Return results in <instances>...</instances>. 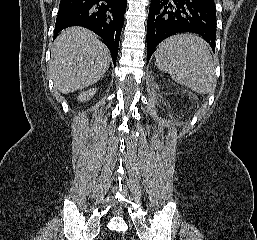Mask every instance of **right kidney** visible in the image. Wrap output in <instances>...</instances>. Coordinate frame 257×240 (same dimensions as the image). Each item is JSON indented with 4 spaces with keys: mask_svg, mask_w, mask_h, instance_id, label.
<instances>
[{
    "mask_svg": "<svg viewBox=\"0 0 257 240\" xmlns=\"http://www.w3.org/2000/svg\"><path fill=\"white\" fill-rule=\"evenodd\" d=\"M97 92V89L96 88H92L88 91H85L83 93H80V95L78 96V101L80 102H84V101H87L89 100L90 98L93 97V95Z\"/></svg>",
    "mask_w": 257,
    "mask_h": 240,
    "instance_id": "right-kidney-1",
    "label": "right kidney"
}]
</instances>
